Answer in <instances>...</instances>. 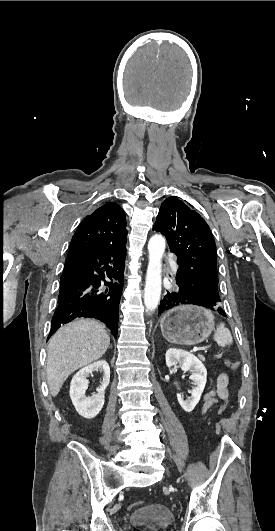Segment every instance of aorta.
<instances>
[{"instance_id": "aorta-1", "label": "aorta", "mask_w": 275, "mask_h": 531, "mask_svg": "<svg viewBox=\"0 0 275 531\" xmlns=\"http://www.w3.org/2000/svg\"><path fill=\"white\" fill-rule=\"evenodd\" d=\"M149 263L147 267L144 289V305L146 311H155L161 297L162 257L165 251V239L154 235L148 243Z\"/></svg>"}]
</instances>
